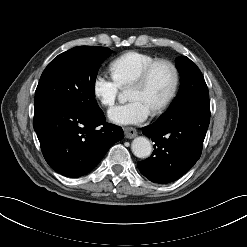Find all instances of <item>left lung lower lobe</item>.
I'll return each mask as SVG.
<instances>
[{
	"instance_id": "0a47b994",
	"label": "left lung lower lobe",
	"mask_w": 247,
	"mask_h": 247,
	"mask_svg": "<svg viewBox=\"0 0 247 247\" xmlns=\"http://www.w3.org/2000/svg\"><path fill=\"white\" fill-rule=\"evenodd\" d=\"M210 122L209 98H199L181 111H166L142 133L155 143L150 157L137 163L154 183H170L183 176L200 158Z\"/></svg>"
}]
</instances>
